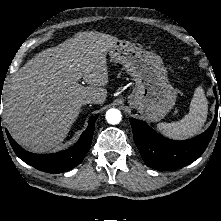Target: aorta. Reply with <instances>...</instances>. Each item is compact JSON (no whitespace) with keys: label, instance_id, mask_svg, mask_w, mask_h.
Segmentation results:
<instances>
[{"label":"aorta","instance_id":"1","mask_svg":"<svg viewBox=\"0 0 221 221\" xmlns=\"http://www.w3.org/2000/svg\"><path fill=\"white\" fill-rule=\"evenodd\" d=\"M122 115L118 109L111 108L106 112V120L109 124L115 125L121 121Z\"/></svg>","mask_w":221,"mask_h":221}]
</instances>
